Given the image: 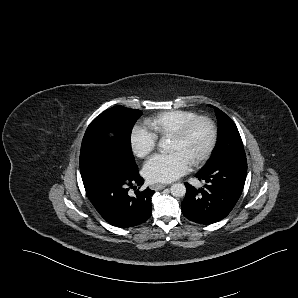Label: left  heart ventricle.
I'll list each match as a JSON object with an SVG mask.
<instances>
[{"instance_id":"b2bd125f","label":"left heart ventricle","mask_w":298,"mask_h":298,"mask_svg":"<svg viewBox=\"0 0 298 298\" xmlns=\"http://www.w3.org/2000/svg\"><path fill=\"white\" fill-rule=\"evenodd\" d=\"M205 140L206 127L204 124L200 123L181 138L164 142L162 149L168 152H178L186 163L189 164L192 158L201 151Z\"/></svg>"}]
</instances>
